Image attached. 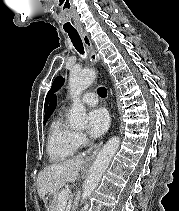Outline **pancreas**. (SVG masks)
I'll list each match as a JSON object with an SVG mask.
<instances>
[{
    "label": "pancreas",
    "instance_id": "1",
    "mask_svg": "<svg viewBox=\"0 0 179 211\" xmlns=\"http://www.w3.org/2000/svg\"><path fill=\"white\" fill-rule=\"evenodd\" d=\"M59 196H60V192H56L54 194V198H53V201H52V204H51L52 211H57V207H58V204H59Z\"/></svg>",
    "mask_w": 179,
    "mask_h": 211
}]
</instances>
